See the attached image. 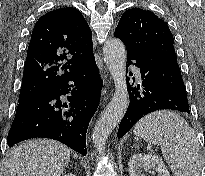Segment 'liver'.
<instances>
[{
    "label": "liver",
    "mask_w": 205,
    "mask_h": 176,
    "mask_svg": "<svg viewBox=\"0 0 205 176\" xmlns=\"http://www.w3.org/2000/svg\"><path fill=\"white\" fill-rule=\"evenodd\" d=\"M70 161V149L49 139H32L11 150L8 176H60Z\"/></svg>",
    "instance_id": "6515ba94"
}]
</instances>
